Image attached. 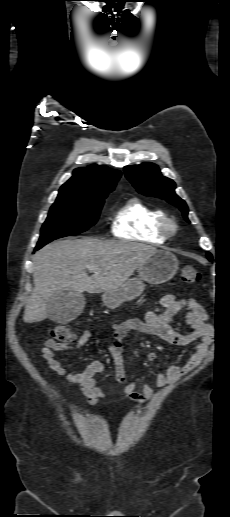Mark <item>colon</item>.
<instances>
[{
    "label": "colon",
    "instance_id": "obj_1",
    "mask_svg": "<svg viewBox=\"0 0 230 517\" xmlns=\"http://www.w3.org/2000/svg\"><path fill=\"white\" fill-rule=\"evenodd\" d=\"M181 279L188 283L193 284L199 281L200 273L196 268L190 265H185L180 270ZM49 335L55 340L61 343H73L76 340V334L67 325L56 324L49 328Z\"/></svg>",
    "mask_w": 230,
    "mask_h": 517
}]
</instances>
